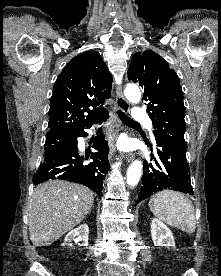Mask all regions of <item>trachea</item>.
<instances>
[{"instance_id":"3493384b","label":"trachea","mask_w":221,"mask_h":276,"mask_svg":"<svg viewBox=\"0 0 221 276\" xmlns=\"http://www.w3.org/2000/svg\"><path fill=\"white\" fill-rule=\"evenodd\" d=\"M117 114H118L119 118L122 120V122L125 123V124H133V125H138L139 124L136 121L132 120L130 117H128L121 110H118Z\"/></svg>"}]
</instances>
